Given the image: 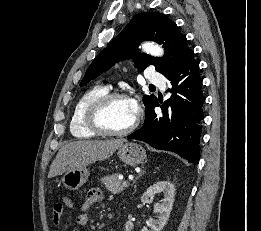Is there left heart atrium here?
Instances as JSON below:
<instances>
[{"label":"left heart atrium","mask_w":261,"mask_h":231,"mask_svg":"<svg viewBox=\"0 0 261 231\" xmlns=\"http://www.w3.org/2000/svg\"><path fill=\"white\" fill-rule=\"evenodd\" d=\"M130 102H131V105H132L134 111L137 112V110H138L137 101L135 99H131Z\"/></svg>","instance_id":"left-heart-atrium-1"}]
</instances>
